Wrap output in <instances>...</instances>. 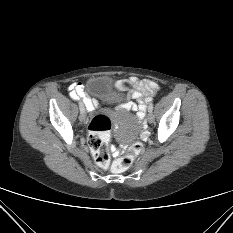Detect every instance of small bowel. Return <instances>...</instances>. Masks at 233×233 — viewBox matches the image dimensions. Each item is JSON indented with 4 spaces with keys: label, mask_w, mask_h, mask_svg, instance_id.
I'll return each mask as SVG.
<instances>
[{
    "label": "small bowel",
    "mask_w": 233,
    "mask_h": 233,
    "mask_svg": "<svg viewBox=\"0 0 233 233\" xmlns=\"http://www.w3.org/2000/svg\"><path fill=\"white\" fill-rule=\"evenodd\" d=\"M128 83L133 88V98L137 103H125L115 108L119 110H133L137 112L138 119L144 117L147 104L153 99L159 90V85L150 79H138L137 77H131ZM70 96L75 99H82L87 110L92 111L99 106V102L95 98H91L84 90V85L80 82L72 83L69 86ZM112 153L114 157H118L121 153L120 149L112 147Z\"/></svg>",
    "instance_id": "obj_1"
}]
</instances>
